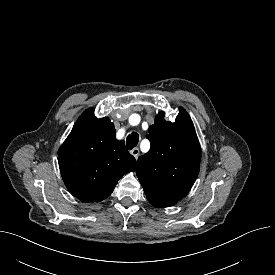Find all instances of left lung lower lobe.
Here are the masks:
<instances>
[{
	"mask_svg": "<svg viewBox=\"0 0 275 275\" xmlns=\"http://www.w3.org/2000/svg\"><path fill=\"white\" fill-rule=\"evenodd\" d=\"M148 201H149L153 206L161 207V208L170 207V206H172V205H174V204L176 203V202H172V201L155 200V199H151V198H148Z\"/></svg>",
	"mask_w": 275,
	"mask_h": 275,
	"instance_id": "1",
	"label": "left lung lower lobe"
}]
</instances>
